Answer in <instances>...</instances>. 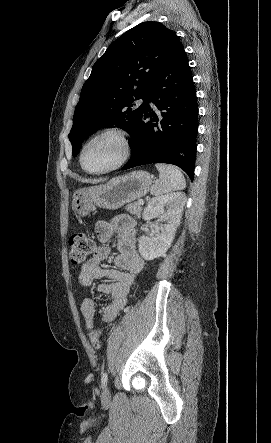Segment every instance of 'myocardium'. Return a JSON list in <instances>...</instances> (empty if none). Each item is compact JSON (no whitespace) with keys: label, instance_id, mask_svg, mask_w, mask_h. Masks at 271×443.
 <instances>
[{"label":"myocardium","instance_id":"obj_1","mask_svg":"<svg viewBox=\"0 0 271 443\" xmlns=\"http://www.w3.org/2000/svg\"><path fill=\"white\" fill-rule=\"evenodd\" d=\"M109 133L116 134L122 142L123 152H122L120 159L116 163H114L113 165H111L107 168H104L101 170H96V171L88 170L84 166V163H83V153H84L86 146L92 140L96 139L97 137H100L102 135L109 134ZM132 153H133V143H132L130 133L125 128H123L121 126H117V125L107 126V127L100 129L99 131L94 133L92 136H90L85 141V143L82 145V148L79 153V164H80V167L82 168V170L88 174H105V173L111 172L113 170H116V169L120 168L121 166H123L124 164H126L129 161V159L131 158Z\"/></svg>","mask_w":271,"mask_h":443}]
</instances>
